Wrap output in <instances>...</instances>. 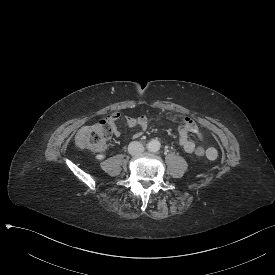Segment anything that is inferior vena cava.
<instances>
[{
    "mask_svg": "<svg viewBox=\"0 0 275 275\" xmlns=\"http://www.w3.org/2000/svg\"><path fill=\"white\" fill-rule=\"evenodd\" d=\"M128 152L133 156H138L144 152V146L138 141H133L128 145Z\"/></svg>",
    "mask_w": 275,
    "mask_h": 275,
    "instance_id": "obj_1",
    "label": "inferior vena cava"
}]
</instances>
